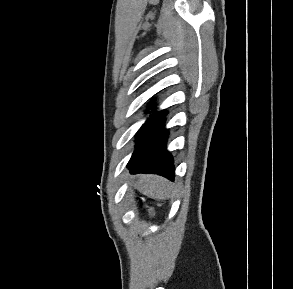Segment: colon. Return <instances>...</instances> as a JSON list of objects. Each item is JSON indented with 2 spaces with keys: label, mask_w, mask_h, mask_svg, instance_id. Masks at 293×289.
Returning <instances> with one entry per match:
<instances>
[{
  "label": "colon",
  "mask_w": 293,
  "mask_h": 289,
  "mask_svg": "<svg viewBox=\"0 0 293 289\" xmlns=\"http://www.w3.org/2000/svg\"><path fill=\"white\" fill-rule=\"evenodd\" d=\"M148 212L151 216H153V210L151 208H148Z\"/></svg>",
  "instance_id": "colon-1"
}]
</instances>
